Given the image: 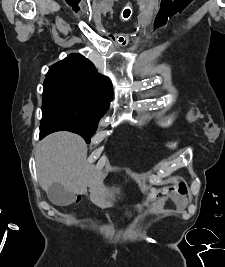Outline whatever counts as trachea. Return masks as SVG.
Wrapping results in <instances>:
<instances>
[{
  "label": "trachea",
  "instance_id": "obj_1",
  "mask_svg": "<svg viewBox=\"0 0 225 267\" xmlns=\"http://www.w3.org/2000/svg\"><path fill=\"white\" fill-rule=\"evenodd\" d=\"M129 15H130V14H129ZM129 15H127L126 10L123 11V17H124V18H128Z\"/></svg>",
  "mask_w": 225,
  "mask_h": 267
}]
</instances>
